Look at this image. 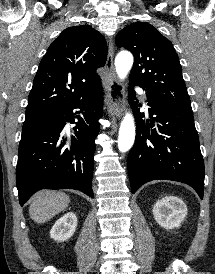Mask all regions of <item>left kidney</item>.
Segmentation results:
<instances>
[{
    "instance_id": "1",
    "label": "left kidney",
    "mask_w": 215,
    "mask_h": 274,
    "mask_svg": "<svg viewBox=\"0 0 215 274\" xmlns=\"http://www.w3.org/2000/svg\"><path fill=\"white\" fill-rule=\"evenodd\" d=\"M156 222L165 229L178 228L187 215L185 203L177 197L166 196L153 207Z\"/></svg>"
}]
</instances>
